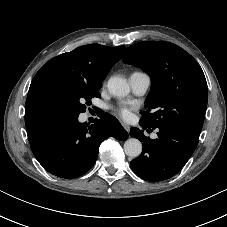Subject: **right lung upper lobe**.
<instances>
[{"label": "right lung upper lobe", "mask_w": 227, "mask_h": 227, "mask_svg": "<svg viewBox=\"0 0 227 227\" xmlns=\"http://www.w3.org/2000/svg\"><path fill=\"white\" fill-rule=\"evenodd\" d=\"M126 47L89 44L45 63L33 78L25 105V124L32 143L54 125L66 120L64 97L78 85H101Z\"/></svg>", "instance_id": "cb5924a9"}]
</instances>
